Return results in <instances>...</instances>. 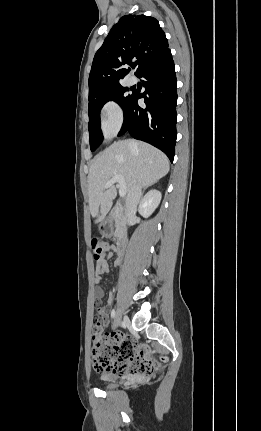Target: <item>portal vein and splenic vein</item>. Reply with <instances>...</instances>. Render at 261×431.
<instances>
[{"instance_id": "portal-vein-and-splenic-vein-1", "label": "portal vein and splenic vein", "mask_w": 261, "mask_h": 431, "mask_svg": "<svg viewBox=\"0 0 261 431\" xmlns=\"http://www.w3.org/2000/svg\"><path fill=\"white\" fill-rule=\"evenodd\" d=\"M118 183L119 185V195L120 197H124L127 193L126 183L124 177L121 175L113 176L105 185V188H109L113 184Z\"/></svg>"}]
</instances>
